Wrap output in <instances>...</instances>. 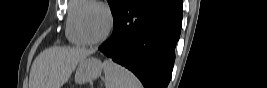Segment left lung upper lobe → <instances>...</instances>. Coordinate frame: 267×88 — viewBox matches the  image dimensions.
I'll return each mask as SVG.
<instances>
[{
  "label": "left lung upper lobe",
  "instance_id": "left-lung-upper-lobe-1",
  "mask_svg": "<svg viewBox=\"0 0 267 88\" xmlns=\"http://www.w3.org/2000/svg\"><path fill=\"white\" fill-rule=\"evenodd\" d=\"M107 1L110 5L111 12L115 20L118 17V15L121 13L123 8L126 6L129 0H107Z\"/></svg>",
  "mask_w": 267,
  "mask_h": 88
}]
</instances>
